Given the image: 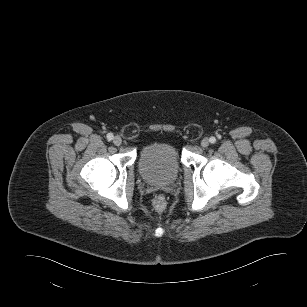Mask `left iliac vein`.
<instances>
[{
    "mask_svg": "<svg viewBox=\"0 0 307 307\" xmlns=\"http://www.w3.org/2000/svg\"><path fill=\"white\" fill-rule=\"evenodd\" d=\"M210 144V141L207 139V138H204L202 141H201V146L206 148L208 147Z\"/></svg>",
    "mask_w": 307,
    "mask_h": 307,
    "instance_id": "left-iliac-vein-1",
    "label": "left iliac vein"
}]
</instances>
